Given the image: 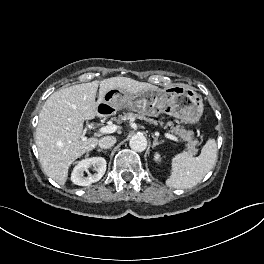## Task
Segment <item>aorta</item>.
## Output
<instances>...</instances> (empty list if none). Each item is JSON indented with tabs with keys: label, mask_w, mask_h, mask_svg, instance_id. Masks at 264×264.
<instances>
[{
	"label": "aorta",
	"mask_w": 264,
	"mask_h": 264,
	"mask_svg": "<svg viewBox=\"0 0 264 264\" xmlns=\"http://www.w3.org/2000/svg\"><path fill=\"white\" fill-rule=\"evenodd\" d=\"M129 146L132 150L142 152L147 148V140L142 134H135L131 137Z\"/></svg>",
	"instance_id": "obj_1"
}]
</instances>
